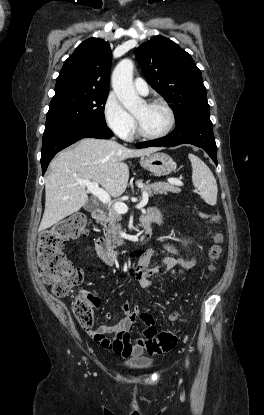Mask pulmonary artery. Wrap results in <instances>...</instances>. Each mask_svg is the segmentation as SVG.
<instances>
[{"label":"pulmonary artery","instance_id":"e3ab8cb5","mask_svg":"<svg viewBox=\"0 0 264 415\" xmlns=\"http://www.w3.org/2000/svg\"><path fill=\"white\" fill-rule=\"evenodd\" d=\"M133 85L141 95H147L149 93V86L142 78H135Z\"/></svg>","mask_w":264,"mask_h":415}]
</instances>
